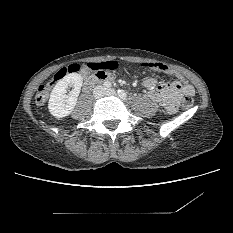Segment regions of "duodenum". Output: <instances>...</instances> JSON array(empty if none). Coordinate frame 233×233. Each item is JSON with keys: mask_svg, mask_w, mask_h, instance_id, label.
Returning <instances> with one entry per match:
<instances>
[{"mask_svg": "<svg viewBox=\"0 0 233 233\" xmlns=\"http://www.w3.org/2000/svg\"><path fill=\"white\" fill-rule=\"evenodd\" d=\"M110 81L108 75L103 72L96 71L94 74L88 76L85 80L86 86H92L98 84L100 82H107Z\"/></svg>", "mask_w": 233, "mask_h": 233, "instance_id": "410a0bca", "label": "duodenum"}]
</instances>
